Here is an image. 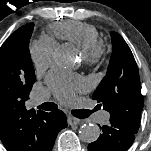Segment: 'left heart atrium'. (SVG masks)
I'll return each instance as SVG.
<instances>
[{
	"label": "left heart atrium",
	"instance_id": "obj_1",
	"mask_svg": "<svg viewBox=\"0 0 151 151\" xmlns=\"http://www.w3.org/2000/svg\"><path fill=\"white\" fill-rule=\"evenodd\" d=\"M48 84L56 95L64 101L72 99L75 93L82 90L85 86V82L81 77L66 75L61 72L50 74L48 77Z\"/></svg>",
	"mask_w": 151,
	"mask_h": 151
}]
</instances>
